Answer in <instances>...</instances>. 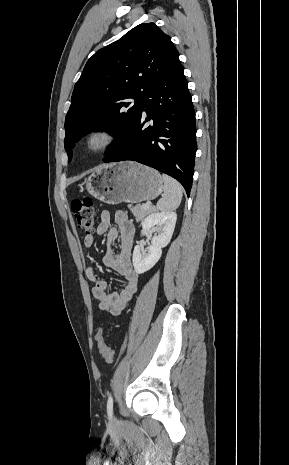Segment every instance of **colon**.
Listing matches in <instances>:
<instances>
[{"label":"colon","instance_id":"5ec220e1","mask_svg":"<svg viewBox=\"0 0 289 465\" xmlns=\"http://www.w3.org/2000/svg\"><path fill=\"white\" fill-rule=\"evenodd\" d=\"M71 209L78 228L87 234L92 233L95 227V209L92 198L88 195L74 198L71 202ZM96 342L103 359L107 363H111L114 359V352L104 341L103 328L98 330Z\"/></svg>","mask_w":289,"mask_h":465}]
</instances>
